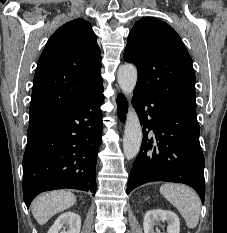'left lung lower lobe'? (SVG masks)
<instances>
[{"label":"left lung lower lobe","mask_w":227,"mask_h":233,"mask_svg":"<svg viewBox=\"0 0 227 233\" xmlns=\"http://www.w3.org/2000/svg\"><path fill=\"white\" fill-rule=\"evenodd\" d=\"M133 105L143 127V140L126 193L147 182H178L194 188L204 202V156L196 117L137 89Z\"/></svg>","instance_id":"obj_1"}]
</instances>
